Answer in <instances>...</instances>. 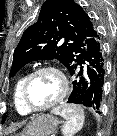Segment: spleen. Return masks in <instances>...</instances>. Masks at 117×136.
Returning <instances> with one entry per match:
<instances>
[{"mask_svg":"<svg viewBox=\"0 0 117 136\" xmlns=\"http://www.w3.org/2000/svg\"><path fill=\"white\" fill-rule=\"evenodd\" d=\"M51 112L65 119V124L62 128L64 136H74L83 127L85 120L84 110L78 105L62 104L53 108Z\"/></svg>","mask_w":117,"mask_h":136,"instance_id":"obj_1","label":"spleen"}]
</instances>
